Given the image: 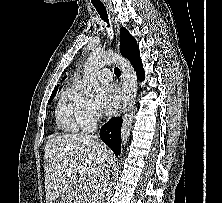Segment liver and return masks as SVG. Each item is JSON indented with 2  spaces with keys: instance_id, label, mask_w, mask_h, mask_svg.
<instances>
[{
  "instance_id": "liver-1",
  "label": "liver",
  "mask_w": 222,
  "mask_h": 203,
  "mask_svg": "<svg viewBox=\"0 0 222 203\" xmlns=\"http://www.w3.org/2000/svg\"><path fill=\"white\" fill-rule=\"evenodd\" d=\"M111 150L98 138L86 134H63L45 144L46 203L72 196L80 180L95 184L112 163Z\"/></svg>"
}]
</instances>
